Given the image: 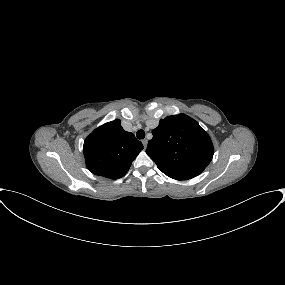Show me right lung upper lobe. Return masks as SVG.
Returning <instances> with one entry per match:
<instances>
[{"instance_id": "1", "label": "right lung upper lobe", "mask_w": 285, "mask_h": 285, "mask_svg": "<svg viewBox=\"0 0 285 285\" xmlns=\"http://www.w3.org/2000/svg\"><path fill=\"white\" fill-rule=\"evenodd\" d=\"M143 149L133 133L126 132L120 120L95 129L84 141L87 168L95 175L118 179L129 170L132 161Z\"/></svg>"}]
</instances>
